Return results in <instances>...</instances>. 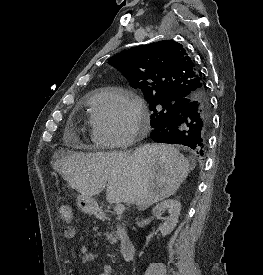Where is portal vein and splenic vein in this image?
<instances>
[{"instance_id":"1","label":"portal vein and splenic vein","mask_w":263,"mask_h":275,"mask_svg":"<svg viewBox=\"0 0 263 275\" xmlns=\"http://www.w3.org/2000/svg\"><path fill=\"white\" fill-rule=\"evenodd\" d=\"M115 212H116V214H122L123 212H124V210H125V206L123 205V204H117L116 206H115Z\"/></svg>"}]
</instances>
